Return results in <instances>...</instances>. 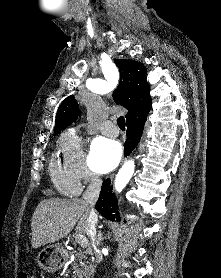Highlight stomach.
Listing matches in <instances>:
<instances>
[{
	"mask_svg": "<svg viewBox=\"0 0 221 278\" xmlns=\"http://www.w3.org/2000/svg\"><path fill=\"white\" fill-rule=\"evenodd\" d=\"M37 262L44 270L55 272L64 266L66 256L58 245H49L38 253Z\"/></svg>",
	"mask_w": 221,
	"mask_h": 278,
	"instance_id": "1",
	"label": "stomach"
}]
</instances>
